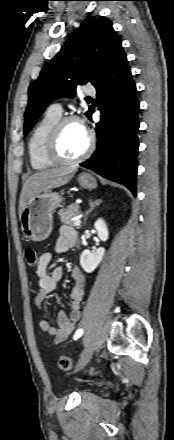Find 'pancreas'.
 <instances>
[{
    "mask_svg": "<svg viewBox=\"0 0 174 440\" xmlns=\"http://www.w3.org/2000/svg\"><path fill=\"white\" fill-rule=\"evenodd\" d=\"M59 218L62 223L74 226V220L72 218L77 217L79 215V205L78 204H72L66 209H60L58 212ZM79 228V227H77Z\"/></svg>",
    "mask_w": 174,
    "mask_h": 440,
    "instance_id": "pancreas-1",
    "label": "pancreas"
}]
</instances>
